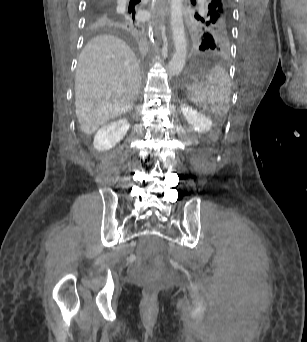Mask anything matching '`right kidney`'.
I'll list each match as a JSON object with an SVG mask.
<instances>
[{"label": "right kidney", "mask_w": 307, "mask_h": 342, "mask_svg": "<svg viewBox=\"0 0 307 342\" xmlns=\"http://www.w3.org/2000/svg\"><path fill=\"white\" fill-rule=\"evenodd\" d=\"M129 130V122L127 120H116L111 122L107 126H103L95 134L93 146L98 152H104V150H111L114 146H117L124 136H126Z\"/></svg>", "instance_id": "obj_1"}]
</instances>
